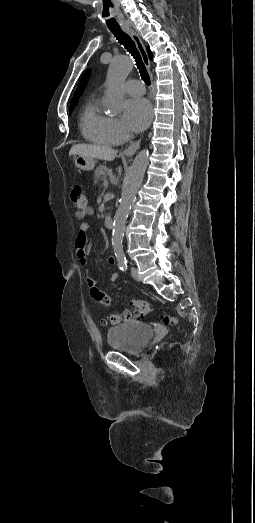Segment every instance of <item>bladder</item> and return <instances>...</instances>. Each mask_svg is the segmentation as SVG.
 <instances>
[{
  "mask_svg": "<svg viewBox=\"0 0 255 523\" xmlns=\"http://www.w3.org/2000/svg\"><path fill=\"white\" fill-rule=\"evenodd\" d=\"M152 336L153 330L147 325L140 322L126 323L107 332V345L113 350L138 353L144 349Z\"/></svg>",
  "mask_w": 255,
  "mask_h": 523,
  "instance_id": "obj_1",
  "label": "bladder"
}]
</instances>
